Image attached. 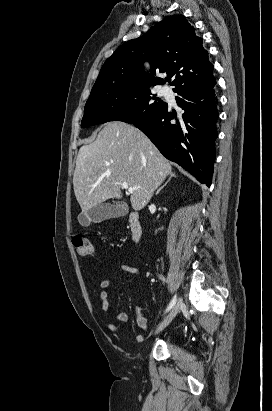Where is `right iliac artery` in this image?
<instances>
[{"instance_id": "82829eb1", "label": "right iliac artery", "mask_w": 272, "mask_h": 411, "mask_svg": "<svg viewBox=\"0 0 272 411\" xmlns=\"http://www.w3.org/2000/svg\"><path fill=\"white\" fill-rule=\"evenodd\" d=\"M163 280H164V278H163ZM175 303H176V295L171 300V302H170L169 306L167 307L165 313L168 312L175 305Z\"/></svg>"}]
</instances>
